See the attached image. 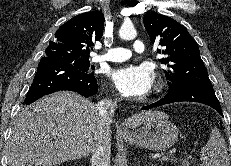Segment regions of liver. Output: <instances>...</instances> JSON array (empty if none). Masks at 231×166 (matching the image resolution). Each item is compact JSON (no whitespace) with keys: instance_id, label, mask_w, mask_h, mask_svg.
<instances>
[{"instance_id":"liver-1","label":"liver","mask_w":231,"mask_h":166,"mask_svg":"<svg viewBox=\"0 0 231 166\" xmlns=\"http://www.w3.org/2000/svg\"><path fill=\"white\" fill-rule=\"evenodd\" d=\"M159 111H143L125 120L129 128ZM106 123L95 105L81 95L62 91L25 107L15 120L8 143V166H53L92 154L108 139Z\"/></svg>"}]
</instances>
